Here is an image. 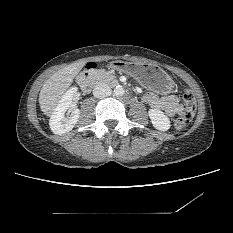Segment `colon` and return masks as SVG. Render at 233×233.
Returning <instances> with one entry per match:
<instances>
[{
  "label": "colon",
  "instance_id": "5ec220e1",
  "mask_svg": "<svg viewBox=\"0 0 233 233\" xmlns=\"http://www.w3.org/2000/svg\"><path fill=\"white\" fill-rule=\"evenodd\" d=\"M88 67L95 68L96 65L92 64ZM182 98L184 102L182 115L174 121V126L177 131H182L185 129L187 123L193 118L196 111V97L191 90H184Z\"/></svg>",
  "mask_w": 233,
  "mask_h": 233
}]
</instances>
